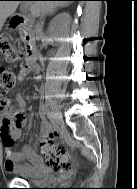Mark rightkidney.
<instances>
[{
  "mask_svg": "<svg viewBox=\"0 0 137 189\" xmlns=\"http://www.w3.org/2000/svg\"><path fill=\"white\" fill-rule=\"evenodd\" d=\"M70 15L68 13H61L56 16L50 23L49 33L55 34L59 29L66 28L70 23Z\"/></svg>",
  "mask_w": 137,
  "mask_h": 189,
  "instance_id": "obj_1",
  "label": "right kidney"
}]
</instances>
